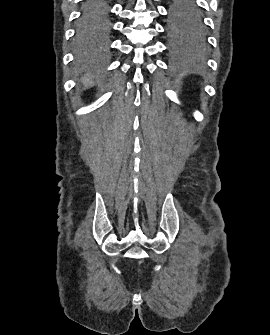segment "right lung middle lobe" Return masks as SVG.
<instances>
[{"mask_svg":"<svg viewBox=\"0 0 270 335\" xmlns=\"http://www.w3.org/2000/svg\"><path fill=\"white\" fill-rule=\"evenodd\" d=\"M78 25V36L89 42L106 26L105 15L107 12L106 0H85Z\"/></svg>","mask_w":270,"mask_h":335,"instance_id":"obj_1","label":"right lung middle lobe"}]
</instances>
